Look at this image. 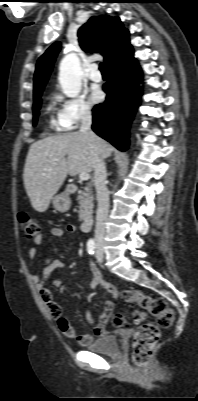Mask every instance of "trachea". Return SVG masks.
Wrapping results in <instances>:
<instances>
[{
	"label": "trachea",
	"mask_w": 198,
	"mask_h": 401,
	"mask_svg": "<svg viewBox=\"0 0 198 401\" xmlns=\"http://www.w3.org/2000/svg\"><path fill=\"white\" fill-rule=\"evenodd\" d=\"M99 69L102 73H107L106 66L103 62L100 63Z\"/></svg>",
	"instance_id": "trachea-1"
}]
</instances>
